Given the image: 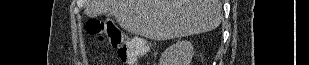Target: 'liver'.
<instances>
[{
    "label": "liver",
    "mask_w": 309,
    "mask_h": 65,
    "mask_svg": "<svg viewBox=\"0 0 309 65\" xmlns=\"http://www.w3.org/2000/svg\"><path fill=\"white\" fill-rule=\"evenodd\" d=\"M89 17L108 15L121 28L153 40L206 33L222 20L220 0H86Z\"/></svg>",
    "instance_id": "6515ba94"
}]
</instances>
